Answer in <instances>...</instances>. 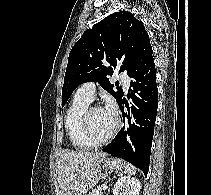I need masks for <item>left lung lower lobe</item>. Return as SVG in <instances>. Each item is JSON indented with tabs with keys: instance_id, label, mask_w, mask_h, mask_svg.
Here are the masks:
<instances>
[{
	"instance_id": "0a47b994",
	"label": "left lung lower lobe",
	"mask_w": 211,
	"mask_h": 195,
	"mask_svg": "<svg viewBox=\"0 0 211 195\" xmlns=\"http://www.w3.org/2000/svg\"><path fill=\"white\" fill-rule=\"evenodd\" d=\"M128 98L132 99L131 109L122 99L119 104L124 126L104 152L118 156L148 174L154 125L158 107V89L154 59L132 77ZM123 105L128 109L124 113Z\"/></svg>"
}]
</instances>
